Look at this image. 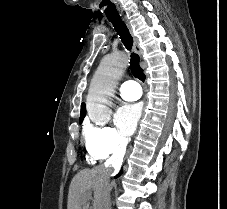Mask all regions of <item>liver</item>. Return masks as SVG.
I'll use <instances>...</instances> for the list:
<instances>
[{"label":"liver","instance_id":"obj_1","mask_svg":"<svg viewBox=\"0 0 227 209\" xmlns=\"http://www.w3.org/2000/svg\"><path fill=\"white\" fill-rule=\"evenodd\" d=\"M109 173V171H104ZM100 169H83L80 173H77L71 181L68 193V205L67 209H82V205H85L86 191L94 187L97 179H99ZM87 209V207H83Z\"/></svg>","mask_w":227,"mask_h":209}]
</instances>
